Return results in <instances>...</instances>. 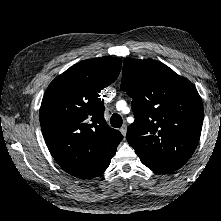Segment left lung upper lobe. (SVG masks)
Masks as SVG:
<instances>
[{"label": "left lung upper lobe", "mask_w": 221, "mask_h": 221, "mask_svg": "<svg viewBox=\"0 0 221 221\" xmlns=\"http://www.w3.org/2000/svg\"><path fill=\"white\" fill-rule=\"evenodd\" d=\"M121 89L133 99L129 145L138 156L182 167L203 124L202 100L193 84L159 61L126 58Z\"/></svg>", "instance_id": "5c2ea615"}]
</instances>
